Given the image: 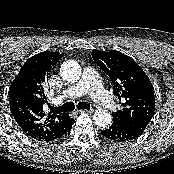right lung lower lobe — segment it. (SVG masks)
<instances>
[{"label":"right lung lower lobe","instance_id":"98d812e1","mask_svg":"<svg viewBox=\"0 0 174 174\" xmlns=\"http://www.w3.org/2000/svg\"><path fill=\"white\" fill-rule=\"evenodd\" d=\"M70 129H71V128H70ZM70 129H69L68 131H66L64 134L60 135L58 138H60V137H62V136H64V135H66V134L70 131ZM58 138H56V139H58Z\"/></svg>","mask_w":174,"mask_h":174}]
</instances>
